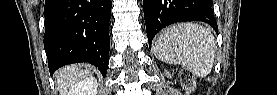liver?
<instances>
[{
	"mask_svg": "<svg viewBox=\"0 0 277 95\" xmlns=\"http://www.w3.org/2000/svg\"><path fill=\"white\" fill-rule=\"evenodd\" d=\"M89 66L75 64L59 69L55 74L60 95H74L78 93V85L87 78H92Z\"/></svg>",
	"mask_w": 277,
	"mask_h": 95,
	"instance_id": "obj_1",
	"label": "liver"
}]
</instances>
